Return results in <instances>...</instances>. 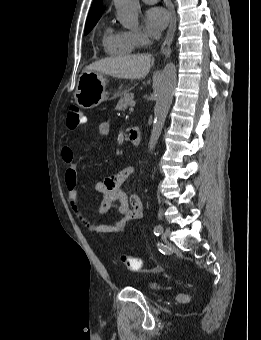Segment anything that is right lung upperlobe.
I'll use <instances>...</instances> for the list:
<instances>
[{"instance_id":"right-lung-upper-lobe-1","label":"right lung upper lobe","mask_w":261,"mask_h":340,"mask_svg":"<svg viewBox=\"0 0 261 340\" xmlns=\"http://www.w3.org/2000/svg\"><path fill=\"white\" fill-rule=\"evenodd\" d=\"M101 14H102V0H94L89 11L86 23L98 20L101 17Z\"/></svg>"}]
</instances>
